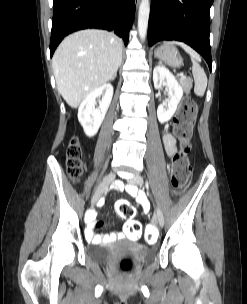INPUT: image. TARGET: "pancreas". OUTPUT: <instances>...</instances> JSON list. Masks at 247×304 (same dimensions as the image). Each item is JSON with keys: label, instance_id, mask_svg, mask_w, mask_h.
Here are the masks:
<instances>
[{"label": "pancreas", "instance_id": "obj_1", "mask_svg": "<svg viewBox=\"0 0 247 304\" xmlns=\"http://www.w3.org/2000/svg\"><path fill=\"white\" fill-rule=\"evenodd\" d=\"M180 83L183 86V88L186 91V93H190V90L192 88V82H191V80L187 79V78H182L180 80Z\"/></svg>", "mask_w": 247, "mask_h": 304}]
</instances>
